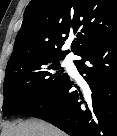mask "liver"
Instances as JSON below:
<instances>
[{
    "instance_id": "6515ba94",
    "label": "liver",
    "mask_w": 117,
    "mask_h": 136,
    "mask_svg": "<svg viewBox=\"0 0 117 136\" xmlns=\"http://www.w3.org/2000/svg\"><path fill=\"white\" fill-rule=\"evenodd\" d=\"M4 136H66L56 127L38 120L5 126Z\"/></svg>"
}]
</instances>
